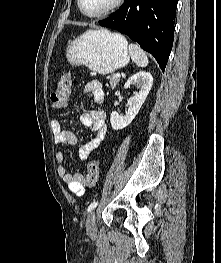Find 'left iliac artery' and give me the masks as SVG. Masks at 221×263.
Listing matches in <instances>:
<instances>
[{
  "mask_svg": "<svg viewBox=\"0 0 221 263\" xmlns=\"http://www.w3.org/2000/svg\"><path fill=\"white\" fill-rule=\"evenodd\" d=\"M98 205V202H93L89 205L87 212H91L94 208H96V206Z\"/></svg>",
  "mask_w": 221,
  "mask_h": 263,
  "instance_id": "obj_1",
  "label": "left iliac artery"
}]
</instances>
